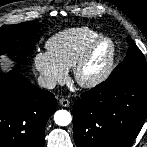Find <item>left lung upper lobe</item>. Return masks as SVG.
<instances>
[{
  "instance_id": "5c2ea615",
  "label": "left lung upper lobe",
  "mask_w": 147,
  "mask_h": 147,
  "mask_svg": "<svg viewBox=\"0 0 147 147\" xmlns=\"http://www.w3.org/2000/svg\"><path fill=\"white\" fill-rule=\"evenodd\" d=\"M129 49L124 60L112 71L110 77L121 74L147 76V63L144 55L130 37H127Z\"/></svg>"
}]
</instances>
